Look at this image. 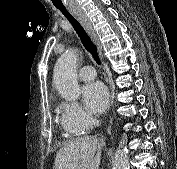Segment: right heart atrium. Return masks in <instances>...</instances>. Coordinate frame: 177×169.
I'll list each match as a JSON object with an SVG mask.
<instances>
[{
  "label": "right heart atrium",
  "mask_w": 177,
  "mask_h": 169,
  "mask_svg": "<svg viewBox=\"0 0 177 169\" xmlns=\"http://www.w3.org/2000/svg\"><path fill=\"white\" fill-rule=\"evenodd\" d=\"M60 111L63 126L71 132L86 131L94 123V118L76 102L62 103Z\"/></svg>",
  "instance_id": "obj_1"
}]
</instances>
